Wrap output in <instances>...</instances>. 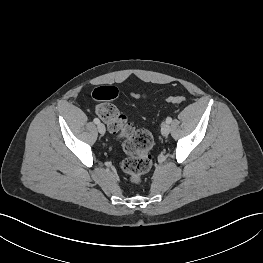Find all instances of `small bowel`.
Here are the masks:
<instances>
[{
	"instance_id": "c3829d8e",
	"label": "small bowel",
	"mask_w": 263,
	"mask_h": 263,
	"mask_svg": "<svg viewBox=\"0 0 263 263\" xmlns=\"http://www.w3.org/2000/svg\"><path fill=\"white\" fill-rule=\"evenodd\" d=\"M135 97L136 98H141V95L140 94H136Z\"/></svg>"
}]
</instances>
